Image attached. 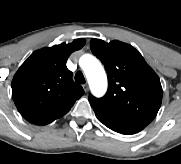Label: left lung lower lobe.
I'll return each instance as SVG.
<instances>
[{"label": "left lung lower lobe", "instance_id": "obj_1", "mask_svg": "<svg viewBox=\"0 0 181 164\" xmlns=\"http://www.w3.org/2000/svg\"><path fill=\"white\" fill-rule=\"evenodd\" d=\"M93 110L101 123L117 133L131 135L140 132L147 126L105 109L93 108Z\"/></svg>", "mask_w": 181, "mask_h": 164}]
</instances>
